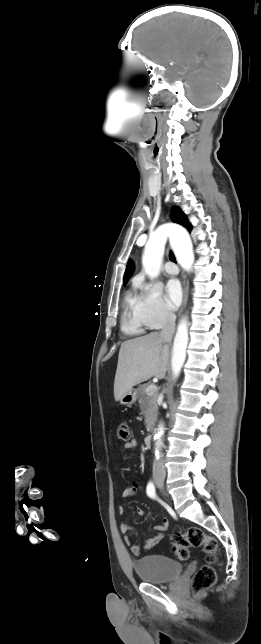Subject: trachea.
Segmentation results:
<instances>
[{"label":"trachea","instance_id":"trachea-1","mask_svg":"<svg viewBox=\"0 0 261 644\" xmlns=\"http://www.w3.org/2000/svg\"><path fill=\"white\" fill-rule=\"evenodd\" d=\"M169 258L171 259V261L176 262V260H175V256H174V254H173V252H172V251H171V252H170V254H169Z\"/></svg>","mask_w":261,"mask_h":644}]
</instances>
